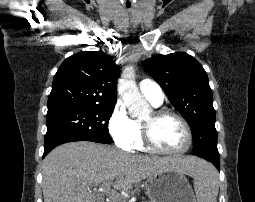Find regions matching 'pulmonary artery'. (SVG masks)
<instances>
[{
    "mask_svg": "<svg viewBox=\"0 0 255 202\" xmlns=\"http://www.w3.org/2000/svg\"><path fill=\"white\" fill-rule=\"evenodd\" d=\"M139 89L141 94L154 106H159L163 103V91L155 81L143 79L139 83Z\"/></svg>",
    "mask_w": 255,
    "mask_h": 202,
    "instance_id": "1",
    "label": "pulmonary artery"
}]
</instances>
